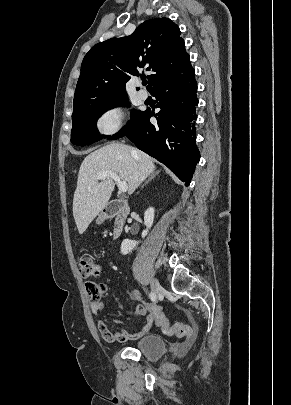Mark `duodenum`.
Segmentation results:
<instances>
[{
  "instance_id": "duodenum-1",
  "label": "duodenum",
  "mask_w": 291,
  "mask_h": 405,
  "mask_svg": "<svg viewBox=\"0 0 291 405\" xmlns=\"http://www.w3.org/2000/svg\"><path fill=\"white\" fill-rule=\"evenodd\" d=\"M129 207L124 200H113L105 208V215L114 220L113 237L118 238L126 223Z\"/></svg>"
}]
</instances>
